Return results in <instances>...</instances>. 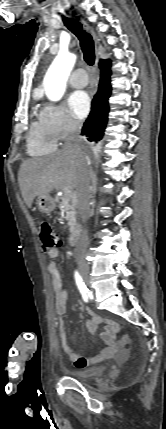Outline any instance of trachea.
I'll return each instance as SVG.
<instances>
[{"label":"trachea","mask_w":166,"mask_h":429,"mask_svg":"<svg viewBox=\"0 0 166 429\" xmlns=\"http://www.w3.org/2000/svg\"><path fill=\"white\" fill-rule=\"evenodd\" d=\"M62 18L65 26L79 39L85 62L92 66L95 61V47L92 36L83 29L80 22L65 16H62Z\"/></svg>","instance_id":"1"}]
</instances>
